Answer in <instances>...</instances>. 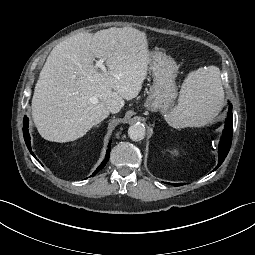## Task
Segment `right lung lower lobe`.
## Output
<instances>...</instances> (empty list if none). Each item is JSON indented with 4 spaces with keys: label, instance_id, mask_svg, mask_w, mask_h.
I'll return each instance as SVG.
<instances>
[{
    "label": "right lung lower lobe",
    "instance_id": "1",
    "mask_svg": "<svg viewBox=\"0 0 255 255\" xmlns=\"http://www.w3.org/2000/svg\"><path fill=\"white\" fill-rule=\"evenodd\" d=\"M28 118L25 116L24 117V120H23V135H24V139H25V142H26V145L29 149V151L31 152V154L35 157V155L32 153L31 151V145H30V135H29V132H28ZM110 146H111V141L108 145V150H107V153H106V157L104 159V161L101 163V165L97 168V170L92 174V176L96 175V173H98L104 166L105 164L108 162L109 160V153H110ZM36 158V157H35Z\"/></svg>",
    "mask_w": 255,
    "mask_h": 255
}]
</instances>
